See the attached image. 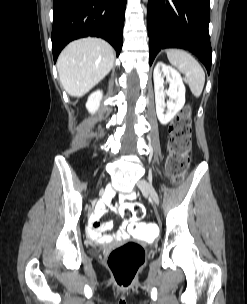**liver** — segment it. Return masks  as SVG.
<instances>
[{"label":"liver","instance_id":"liver-1","mask_svg":"<svg viewBox=\"0 0 247 304\" xmlns=\"http://www.w3.org/2000/svg\"><path fill=\"white\" fill-rule=\"evenodd\" d=\"M115 53L103 39L87 37L68 44L57 60L63 88L69 95L82 97L112 69Z\"/></svg>","mask_w":247,"mask_h":304}]
</instances>
